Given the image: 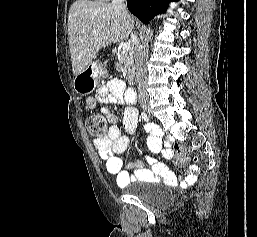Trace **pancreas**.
<instances>
[{
    "instance_id": "cf45deb5",
    "label": "pancreas",
    "mask_w": 257,
    "mask_h": 237,
    "mask_svg": "<svg viewBox=\"0 0 257 237\" xmlns=\"http://www.w3.org/2000/svg\"><path fill=\"white\" fill-rule=\"evenodd\" d=\"M112 53L117 55L118 63L122 65L123 71L127 74L129 84H133L135 76L134 57L131 51L118 53L117 49H113Z\"/></svg>"
}]
</instances>
